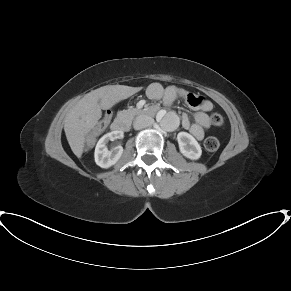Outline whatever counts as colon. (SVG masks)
<instances>
[{"label":"colon","instance_id":"obj_1","mask_svg":"<svg viewBox=\"0 0 291 291\" xmlns=\"http://www.w3.org/2000/svg\"><path fill=\"white\" fill-rule=\"evenodd\" d=\"M111 118H112L111 114H106L103 120V124L105 125L109 123ZM209 120H210V123L214 126H221L224 123V118L220 113L211 114ZM204 146L207 151L215 152L219 148V141L216 137L211 136L205 140Z\"/></svg>","mask_w":291,"mask_h":291}]
</instances>
